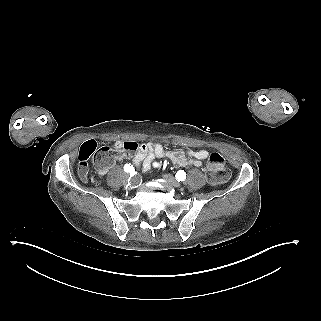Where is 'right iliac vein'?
Here are the masks:
<instances>
[{
  "label": "right iliac vein",
  "mask_w": 321,
  "mask_h": 321,
  "mask_svg": "<svg viewBox=\"0 0 321 321\" xmlns=\"http://www.w3.org/2000/svg\"><path fill=\"white\" fill-rule=\"evenodd\" d=\"M124 185H129L128 180L124 181Z\"/></svg>",
  "instance_id": "obj_1"
}]
</instances>
